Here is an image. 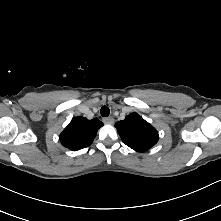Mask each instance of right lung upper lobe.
<instances>
[{"label":"right lung upper lobe","mask_w":221,"mask_h":221,"mask_svg":"<svg viewBox=\"0 0 221 221\" xmlns=\"http://www.w3.org/2000/svg\"><path fill=\"white\" fill-rule=\"evenodd\" d=\"M101 126L103 123L97 118L88 120L76 117L71 120L59 138L64 147L76 151L89 146Z\"/></svg>","instance_id":"obj_1"}]
</instances>
